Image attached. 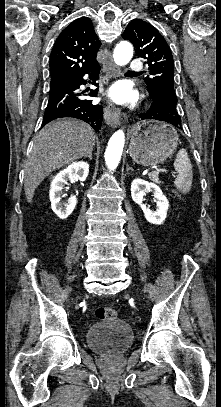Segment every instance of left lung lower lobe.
Returning <instances> with one entry per match:
<instances>
[{"mask_svg":"<svg viewBox=\"0 0 221 407\" xmlns=\"http://www.w3.org/2000/svg\"><path fill=\"white\" fill-rule=\"evenodd\" d=\"M148 111L138 114L139 118L168 122L178 129H182L181 117L177 110V97L169 90L163 89L155 96Z\"/></svg>","mask_w":221,"mask_h":407,"instance_id":"1","label":"left lung lower lobe"}]
</instances>
